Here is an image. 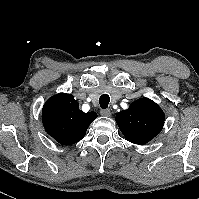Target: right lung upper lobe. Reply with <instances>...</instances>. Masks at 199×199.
I'll return each mask as SVG.
<instances>
[{"label":"right lung upper lobe","instance_id":"1","mask_svg":"<svg viewBox=\"0 0 199 199\" xmlns=\"http://www.w3.org/2000/svg\"><path fill=\"white\" fill-rule=\"evenodd\" d=\"M96 118L95 112H82L72 94H56L46 101L42 109L46 132L61 145L80 141Z\"/></svg>","mask_w":199,"mask_h":199}]
</instances>
